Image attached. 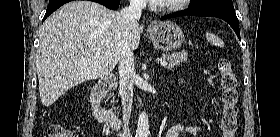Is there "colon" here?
Listing matches in <instances>:
<instances>
[{"label":"colon","mask_w":280,"mask_h":137,"mask_svg":"<svg viewBox=\"0 0 280 137\" xmlns=\"http://www.w3.org/2000/svg\"><path fill=\"white\" fill-rule=\"evenodd\" d=\"M218 72L222 87V117L221 131L223 137H235L237 131V77L227 58H221L218 63ZM50 137H72L69 129L59 123H50L47 129Z\"/></svg>","instance_id":"colon-1"}]
</instances>
